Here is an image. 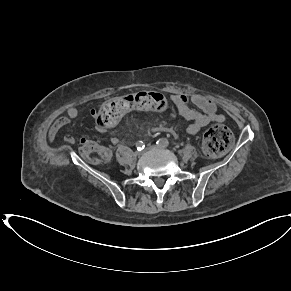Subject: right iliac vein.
<instances>
[{
	"instance_id": "63e3f726",
	"label": "right iliac vein",
	"mask_w": 291,
	"mask_h": 291,
	"mask_svg": "<svg viewBox=\"0 0 291 291\" xmlns=\"http://www.w3.org/2000/svg\"><path fill=\"white\" fill-rule=\"evenodd\" d=\"M134 155H135L136 157H139V156L142 155V153H141L140 151H136V152L134 153Z\"/></svg>"
}]
</instances>
